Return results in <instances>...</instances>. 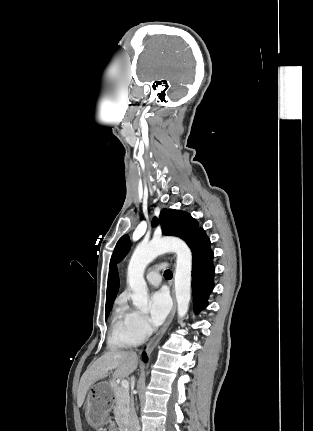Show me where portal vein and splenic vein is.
<instances>
[{"mask_svg": "<svg viewBox=\"0 0 313 431\" xmlns=\"http://www.w3.org/2000/svg\"><path fill=\"white\" fill-rule=\"evenodd\" d=\"M121 387L128 389L129 388V382L127 380L121 381Z\"/></svg>", "mask_w": 313, "mask_h": 431, "instance_id": "obj_1", "label": "portal vein and splenic vein"}]
</instances>
